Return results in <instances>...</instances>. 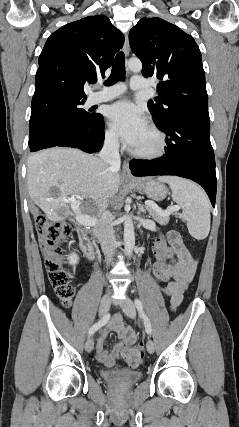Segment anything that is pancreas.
I'll return each instance as SVG.
<instances>
[{
	"mask_svg": "<svg viewBox=\"0 0 239 427\" xmlns=\"http://www.w3.org/2000/svg\"><path fill=\"white\" fill-rule=\"evenodd\" d=\"M150 216L159 224L166 225L169 222V216H163L151 207H147Z\"/></svg>",
	"mask_w": 239,
	"mask_h": 427,
	"instance_id": "pancreas-1",
	"label": "pancreas"
}]
</instances>
